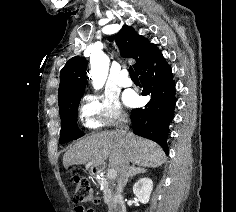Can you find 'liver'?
I'll list each match as a JSON object with an SVG mask.
<instances>
[{
    "label": "liver",
    "instance_id": "obj_1",
    "mask_svg": "<svg viewBox=\"0 0 236 212\" xmlns=\"http://www.w3.org/2000/svg\"><path fill=\"white\" fill-rule=\"evenodd\" d=\"M127 156L133 165L155 168L166 160L164 151L156 143L131 132L103 131L77 141L63 156L64 168L71 165L100 167L109 157V166L118 171Z\"/></svg>",
    "mask_w": 236,
    "mask_h": 212
}]
</instances>
